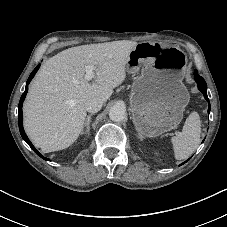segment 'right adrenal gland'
Returning a JSON list of instances; mask_svg holds the SVG:
<instances>
[{
  "instance_id": "right-adrenal-gland-1",
  "label": "right adrenal gland",
  "mask_w": 227,
  "mask_h": 227,
  "mask_svg": "<svg viewBox=\"0 0 227 227\" xmlns=\"http://www.w3.org/2000/svg\"><path fill=\"white\" fill-rule=\"evenodd\" d=\"M92 115L93 114H89L87 116L86 121H85V124H84L85 130L83 131V133H88L89 134V131H90V121H91Z\"/></svg>"
}]
</instances>
